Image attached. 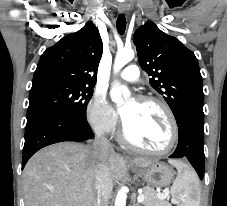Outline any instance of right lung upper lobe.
I'll use <instances>...</instances> for the list:
<instances>
[{"label":"right lung upper lobe","instance_id":"right-lung-upper-lobe-1","mask_svg":"<svg viewBox=\"0 0 227 206\" xmlns=\"http://www.w3.org/2000/svg\"><path fill=\"white\" fill-rule=\"evenodd\" d=\"M103 44L96 26L87 22L42 54L34 72L33 83L54 80L94 87Z\"/></svg>","mask_w":227,"mask_h":206}]
</instances>
